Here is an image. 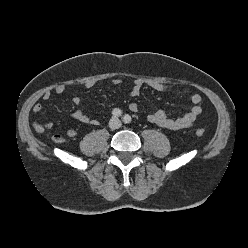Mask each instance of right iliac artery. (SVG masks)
<instances>
[{"instance_id": "1", "label": "right iliac artery", "mask_w": 248, "mask_h": 248, "mask_svg": "<svg viewBox=\"0 0 248 248\" xmlns=\"http://www.w3.org/2000/svg\"><path fill=\"white\" fill-rule=\"evenodd\" d=\"M112 115H113L114 117H119V116L122 115V111H121L120 109H118V108H115V109L112 111Z\"/></svg>"}]
</instances>
